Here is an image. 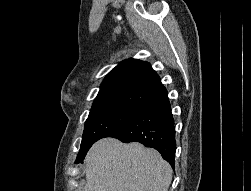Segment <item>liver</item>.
<instances>
[{
	"label": "liver",
	"instance_id": "6515ba94",
	"mask_svg": "<svg viewBox=\"0 0 251 191\" xmlns=\"http://www.w3.org/2000/svg\"><path fill=\"white\" fill-rule=\"evenodd\" d=\"M83 191H168L172 167L153 147L103 137L85 157Z\"/></svg>",
	"mask_w": 251,
	"mask_h": 191
}]
</instances>
